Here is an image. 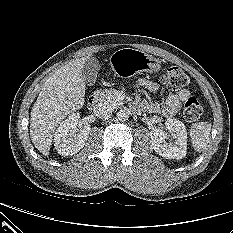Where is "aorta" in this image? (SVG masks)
<instances>
[{"mask_svg":"<svg viewBox=\"0 0 233 233\" xmlns=\"http://www.w3.org/2000/svg\"><path fill=\"white\" fill-rule=\"evenodd\" d=\"M116 116H117V119H118L119 121L124 122V121L128 120V118H129V113H128L127 110L121 109V110H119V111L117 112V115H116Z\"/></svg>","mask_w":233,"mask_h":233,"instance_id":"1","label":"aorta"}]
</instances>
